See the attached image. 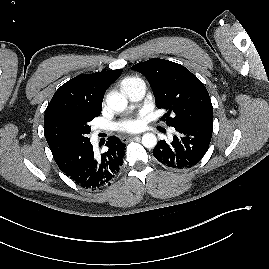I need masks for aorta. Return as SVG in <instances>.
I'll return each instance as SVG.
<instances>
[{
    "instance_id": "762f6f07",
    "label": "aorta",
    "mask_w": 269,
    "mask_h": 269,
    "mask_svg": "<svg viewBox=\"0 0 269 269\" xmlns=\"http://www.w3.org/2000/svg\"><path fill=\"white\" fill-rule=\"evenodd\" d=\"M127 104V99L120 93L111 94L107 98V105L117 112L125 110ZM142 144L146 148H154L157 144V138L153 133H145L142 136Z\"/></svg>"
}]
</instances>
